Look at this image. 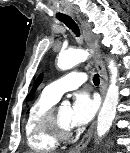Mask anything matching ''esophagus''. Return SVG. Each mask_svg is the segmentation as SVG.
I'll use <instances>...</instances> for the list:
<instances>
[{"label": "esophagus", "mask_w": 130, "mask_h": 153, "mask_svg": "<svg viewBox=\"0 0 130 153\" xmlns=\"http://www.w3.org/2000/svg\"><path fill=\"white\" fill-rule=\"evenodd\" d=\"M78 19L81 23L84 39H85L87 45L96 52L93 55V60L95 62V66H96V68L99 72V75H100V92H101L102 98H104L105 93H106V89H107L108 76H107L105 66H104V64L98 54V52H99L98 41L95 38L89 23L79 17H78ZM95 125H96V122H93L92 125L90 126V128L88 129V131L86 132V134L84 135V137L82 138V140L79 142V144L76 147H74L70 150V153H80L81 151H83L87 147V145L93 135Z\"/></svg>", "instance_id": "1"}]
</instances>
